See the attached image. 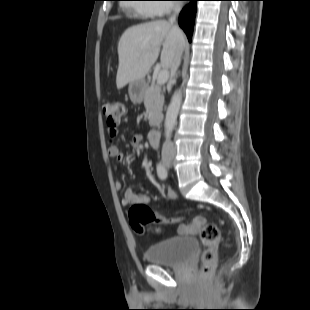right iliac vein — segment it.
Masks as SVG:
<instances>
[{"instance_id":"1","label":"right iliac vein","mask_w":310,"mask_h":310,"mask_svg":"<svg viewBox=\"0 0 310 310\" xmlns=\"http://www.w3.org/2000/svg\"><path fill=\"white\" fill-rule=\"evenodd\" d=\"M171 160L172 159L170 157H164L163 158V162H164L165 165H169L171 163Z\"/></svg>"}]
</instances>
